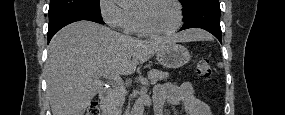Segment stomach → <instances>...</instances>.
<instances>
[{
  "instance_id": "0dacf381",
  "label": "stomach",
  "mask_w": 285,
  "mask_h": 115,
  "mask_svg": "<svg viewBox=\"0 0 285 115\" xmlns=\"http://www.w3.org/2000/svg\"><path fill=\"white\" fill-rule=\"evenodd\" d=\"M158 62L165 68L175 69L187 64L191 58L189 51L177 43H170L156 52Z\"/></svg>"
}]
</instances>
